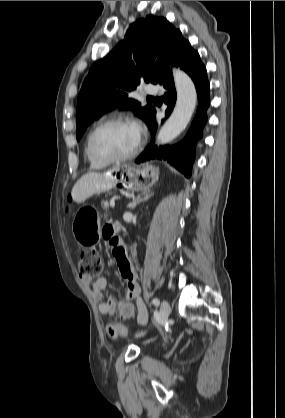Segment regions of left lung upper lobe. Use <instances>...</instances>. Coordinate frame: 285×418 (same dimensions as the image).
Wrapping results in <instances>:
<instances>
[{
    "mask_svg": "<svg viewBox=\"0 0 285 418\" xmlns=\"http://www.w3.org/2000/svg\"><path fill=\"white\" fill-rule=\"evenodd\" d=\"M181 39L180 30L163 17L148 15L131 24L124 39L91 66L82 84L76 111L77 140L94 120L117 108L132 109L148 125L154 107H141L130 92L140 80L158 83Z\"/></svg>",
    "mask_w": 285,
    "mask_h": 418,
    "instance_id": "1",
    "label": "left lung upper lobe"
}]
</instances>
